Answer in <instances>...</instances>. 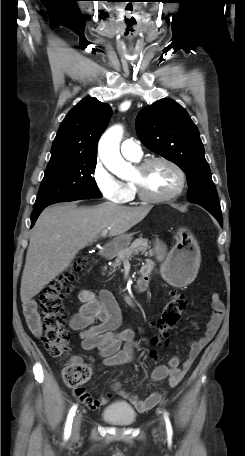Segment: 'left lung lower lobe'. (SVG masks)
Here are the masks:
<instances>
[{"label":"left lung lower lobe","mask_w":245,"mask_h":456,"mask_svg":"<svg viewBox=\"0 0 245 456\" xmlns=\"http://www.w3.org/2000/svg\"><path fill=\"white\" fill-rule=\"evenodd\" d=\"M220 223V225L222 226V223H223V220H222V217L221 215H213Z\"/></svg>","instance_id":"0a47b994"}]
</instances>
